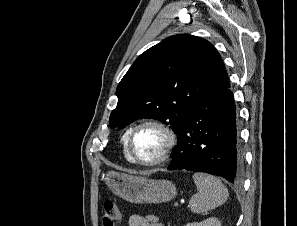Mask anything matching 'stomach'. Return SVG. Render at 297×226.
I'll use <instances>...</instances> for the list:
<instances>
[{"instance_id":"obj_1","label":"stomach","mask_w":297,"mask_h":226,"mask_svg":"<svg viewBox=\"0 0 297 226\" xmlns=\"http://www.w3.org/2000/svg\"><path fill=\"white\" fill-rule=\"evenodd\" d=\"M104 181L111 191L131 203H161L173 199L176 186L168 180H154L109 171Z\"/></svg>"}]
</instances>
